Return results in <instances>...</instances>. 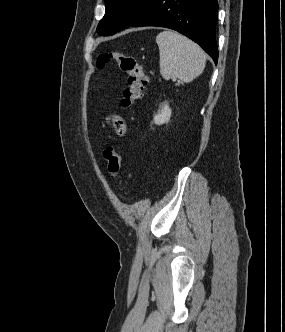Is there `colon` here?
<instances>
[{"mask_svg": "<svg viewBox=\"0 0 285 332\" xmlns=\"http://www.w3.org/2000/svg\"><path fill=\"white\" fill-rule=\"evenodd\" d=\"M114 60L118 70L127 76V85L123 91L121 105L129 108L136 104L143 96L148 79L138 61L120 51L101 53L97 60V67L103 68L106 63ZM107 168L112 176H117L121 169L122 156L119 150L109 146L103 151Z\"/></svg>", "mask_w": 285, "mask_h": 332, "instance_id": "colon-1", "label": "colon"}]
</instances>
